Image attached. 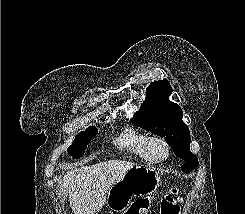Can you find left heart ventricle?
Returning <instances> with one entry per match:
<instances>
[{
    "mask_svg": "<svg viewBox=\"0 0 245 214\" xmlns=\"http://www.w3.org/2000/svg\"><path fill=\"white\" fill-rule=\"evenodd\" d=\"M151 153L156 158H161L165 155V150L161 145H154L151 148Z\"/></svg>",
    "mask_w": 245,
    "mask_h": 214,
    "instance_id": "obj_1",
    "label": "left heart ventricle"
}]
</instances>
